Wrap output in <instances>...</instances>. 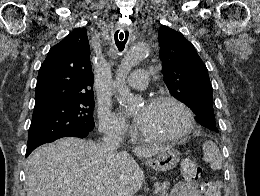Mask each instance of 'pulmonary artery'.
<instances>
[{"label": "pulmonary artery", "instance_id": "1", "mask_svg": "<svg viewBox=\"0 0 260 196\" xmlns=\"http://www.w3.org/2000/svg\"><path fill=\"white\" fill-rule=\"evenodd\" d=\"M150 69H136L133 75L134 79H122V84H136V85H126V90H144L146 85L144 81H150Z\"/></svg>", "mask_w": 260, "mask_h": 196}]
</instances>
